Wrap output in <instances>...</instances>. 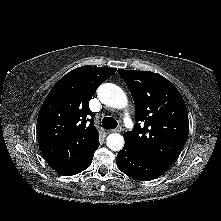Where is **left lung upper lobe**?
<instances>
[{
    "label": "left lung upper lobe",
    "instance_id": "obj_1",
    "mask_svg": "<svg viewBox=\"0 0 221 221\" xmlns=\"http://www.w3.org/2000/svg\"><path fill=\"white\" fill-rule=\"evenodd\" d=\"M118 73L133 97L136 110L134 129L124 133L125 145L170 168L189 132L188 113L180 92L157 73L122 69Z\"/></svg>",
    "mask_w": 221,
    "mask_h": 221
}]
</instances>
